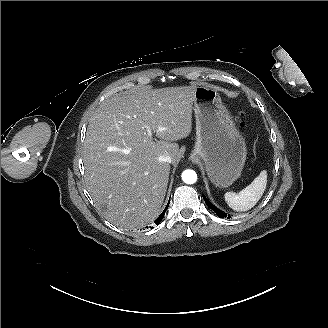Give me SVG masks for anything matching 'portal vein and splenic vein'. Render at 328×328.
<instances>
[{
	"label": "portal vein and splenic vein",
	"mask_w": 328,
	"mask_h": 328,
	"mask_svg": "<svg viewBox=\"0 0 328 328\" xmlns=\"http://www.w3.org/2000/svg\"><path fill=\"white\" fill-rule=\"evenodd\" d=\"M159 131H165V128L164 127H161V128H159ZM147 134L149 135V136H152V131L150 130V129H148L147 128ZM120 150V149H119ZM121 151V150H120Z\"/></svg>",
	"instance_id": "18ae733b"
}]
</instances>
